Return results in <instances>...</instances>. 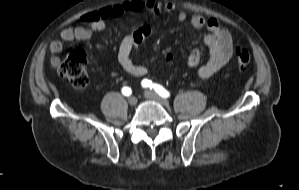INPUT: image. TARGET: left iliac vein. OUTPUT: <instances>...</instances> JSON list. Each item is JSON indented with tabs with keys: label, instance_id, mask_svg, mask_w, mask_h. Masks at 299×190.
I'll return each mask as SVG.
<instances>
[{
	"label": "left iliac vein",
	"instance_id": "obj_1",
	"mask_svg": "<svg viewBox=\"0 0 299 190\" xmlns=\"http://www.w3.org/2000/svg\"><path fill=\"white\" fill-rule=\"evenodd\" d=\"M144 96L147 98V99H150V100H154V101H157L159 102L160 104H162L163 106H169V102L160 97L158 94H156L155 92H152V91H145L144 92Z\"/></svg>",
	"mask_w": 299,
	"mask_h": 190
}]
</instances>
